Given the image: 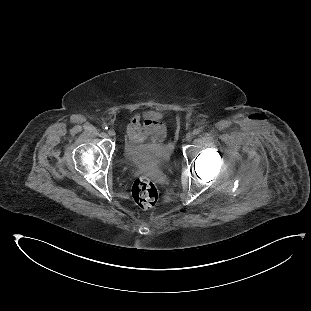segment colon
Returning a JSON list of instances; mask_svg holds the SVG:
<instances>
[{
    "instance_id": "obj_1",
    "label": "colon",
    "mask_w": 311,
    "mask_h": 311,
    "mask_svg": "<svg viewBox=\"0 0 311 311\" xmlns=\"http://www.w3.org/2000/svg\"><path fill=\"white\" fill-rule=\"evenodd\" d=\"M132 196L141 210H150L158 202V190L154 183L146 177H139L134 181Z\"/></svg>"
}]
</instances>
